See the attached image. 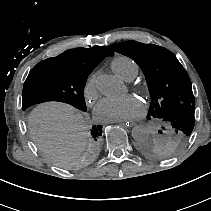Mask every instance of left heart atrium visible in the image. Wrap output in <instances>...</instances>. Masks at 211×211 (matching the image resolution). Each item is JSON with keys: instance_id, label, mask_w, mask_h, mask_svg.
Instances as JSON below:
<instances>
[{"instance_id": "left-heart-atrium-1", "label": "left heart atrium", "mask_w": 211, "mask_h": 211, "mask_svg": "<svg viewBox=\"0 0 211 211\" xmlns=\"http://www.w3.org/2000/svg\"><path fill=\"white\" fill-rule=\"evenodd\" d=\"M145 113L141 98L126 95L120 98H104L94 109L95 118L100 122H113L140 118Z\"/></svg>"}]
</instances>
